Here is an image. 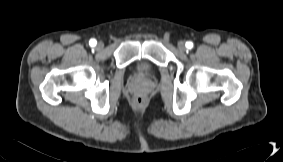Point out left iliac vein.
Here are the masks:
<instances>
[{
	"label": "left iliac vein",
	"mask_w": 283,
	"mask_h": 162,
	"mask_svg": "<svg viewBox=\"0 0 283 162\" xmlns=\"http://www.w3.org/2000/svg\"><path fill=\"white\" fill-rule=\"evenodd\" d=\"M177 46L180 51H184L186 49L185 43L183 41H179Z\"/></svg>",
	"instance_id": "obj_1"
}]
</instances>
